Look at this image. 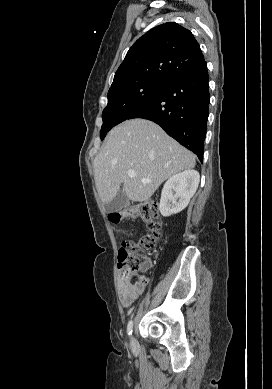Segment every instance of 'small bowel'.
<instances>
[{"instance_id": "1", "label": "small bowel", "mask_w": 272, "mask_h": 389, "mask_svg": "<svg viewBox=\"0 0 272 389\" xmlns=\"http://www.w3.org/2000/svg\"><path fill=\"white\" fill-rule=\"evenodd\" d=\"M151 267V262L146 260L142 266V271H146ZM145 290V284L131 283L127 280L120 281L118 286V292L120 300L124 307H129L134 300L141 295Z\"/></svg>"}]
</instances>
